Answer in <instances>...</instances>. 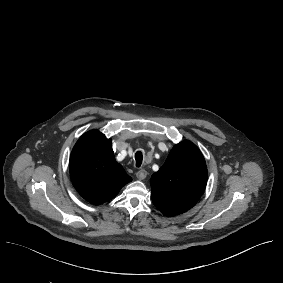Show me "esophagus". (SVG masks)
<instances>
[{
	"label": "esophagus",
	"instance_id": "1",
	"mask_svg": "<svg viewBox=\"0 0 283 283\" xmlns=\"http://www.w3.org/2000/svg\"><path fill=\"white\" fill-rule=\"evenodd\" d=\"M147 176V171L144 169H140L139 171L136 172V177L139 180H144Z\"/></svg>",
	"mask_w": 283,
	"mask_h": 283
}]
</instances>
